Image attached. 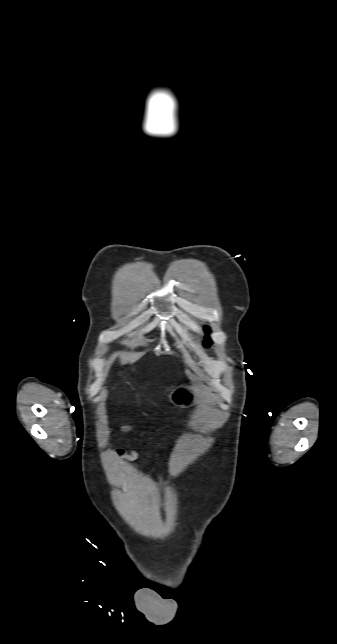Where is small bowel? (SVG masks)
Here are the masks:
<instances>
[{
    "label": "small bowel",
    "instance_id": "obj_1",
    "mask_svg": "<svg viewBox=\"0 0 337 644\" xmlns=\"http://www.w3.org/2000/svg\"><path fill=\"white\" fill-rule=\"evenodd\" d=\"M115 455L117 457H120V458L125 459L126 461H130V462L135 461L138 458L137 452L135 450H133V449H130L128 451L118 449V450L115 451Z\"/></svg>",
    "mask_w": 337,
    "mask_h": 644
}]
</instances>
